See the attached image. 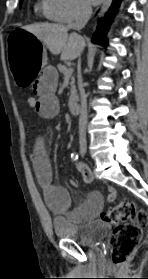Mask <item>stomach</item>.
Segmentation results:
<instances>
[{
    "instance_id": "stomach-1",
    "label": "stomach",
    "mask_w": 148,
    "mask_h": 279,
    "mask_svg": "<svg viewBox=\"0 0 148 279\" xmlns=\"http://www.w3.org/2000/svg\"><path fill=\"white\" fill-rule=\"evenodd\" d=\"M5 55H9L11 75H14L13 87H34L33 79L46 65L47 54L44 43L30 30H9L5 39Z\"/></svg>"
}]
</instances>
